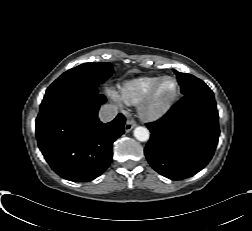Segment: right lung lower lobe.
<instances>
[{
	"mask_svg": "<svg viewBox=\"0 0 252 231\" xmlns=\"http://www.w3.org/2000/svg\"><path fill=\"white\" fill-rule=\"evenodd\" d=\"M106 101L97 87L65 90L45 97L36 119L38 146L61 177L87 182L100 176L112 159V144L124 133L122 114L109 123L98 119Z\"/></svg>",
	"mask_w": 252,
	"mask_h": 231,
	"instance_id": "1",
	"label": "right lung lower lobe"
}]
</instances>
